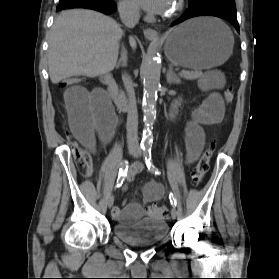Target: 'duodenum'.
Segmentation results:
<instances>
[{"instance_id":"1","label":"duodenum","mask_w":279,"mask_h":279,"mask_svg":"<svg viewBox=\"0 0 279 279\" xmlns=\"http://www.w3.org/2000/svg\"><path fill=\"white\" fill-rule=\"evenodd\" d=\"M104 79L106 82L108 95L111 97L114 104L119 109L126 110L128 108L127 101L119 94L115 80L110 76H106Z\"/></svg>"}]
</instances>
